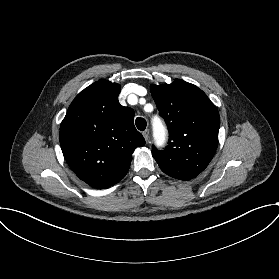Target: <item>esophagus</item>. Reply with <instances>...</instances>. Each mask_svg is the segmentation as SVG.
Listing matches in <instances>:
<instances>
[{
    "label": "esophagus",
    "mask_w": 279,
    "mask_h": 279,
    "mask_svg": "<svg viewBox=\"0 0 279 279\" xmlns=\"http://www.w3.org/2000/svg\"><path fill=\"white\" fill-rule=\"evenodd\" d=\"M142 134H143V137L145 138V140L147 142L148 139H149V135H150L149 130L148 129L144 130Z\"/></svg>",
    "instance_id": "34e87169"
}]
</instances>
